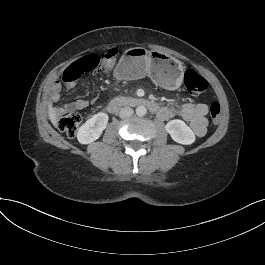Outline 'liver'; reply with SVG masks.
<instances>
[{
  "label": "liver",
  "instance_id": "6515ba94",
  "mask_svg": "<svg viewBox=\"0 0 265 265\" xmlns=\"http://www.w3.org/2000/svg\"><path fill=\"white\" fill-rule=\"evenodd\" d=\"M48 116L51 123L54 125L55 128H58V118L55 109L52 106V103L48 104Z\"/></svg>",
  "mask_w": 265,
  "mask_h": 265
}]
</instances>
